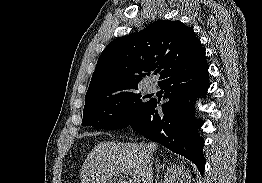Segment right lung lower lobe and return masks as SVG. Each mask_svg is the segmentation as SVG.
<instances>
[{"mask_svg": "<svg viewBox=\"0 0 262 183\" xmlns=\"http://www.w3.org/2000/svg\"><path fill=\"white\" fill-rule=\"evenodd\" d=\"M209 66L205 62L189 71L168 77L158 85L164 90V99L168 101L156 107L159 101L150 103L131 122L130 126L149 140L167 147L196 164L201 174L205 168L203 155L204 140L197 133L203 124L194 118V106L189 104L207 93L209 84Z\"/></svg>", "mask_w": 262, "mask_h": 183, "instance_id": "obj_1", "label": "right lung lower lobe"}]
</instances>
